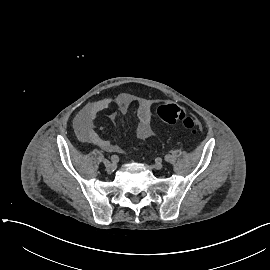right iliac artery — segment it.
I'll list each match as a JSON object with an SVG mask.
<instances>
[{
  "instance_id": "obj_1",
  "label": "right iliac artery",
  "mask_w": 270,
  "mask_h": 270,
  "mask_svg": "<svg viewBox=\"0 0 270 270\" xmlns=\"http://www.w3.org/2000/svg\"><path fill=\"white\" fill-rule=\"evenodd\" d=\"M111 161H112L113 163H117V162L119 161V157H118L117 155H112V156H111Z\"/></svg>"
}]
</instances>
